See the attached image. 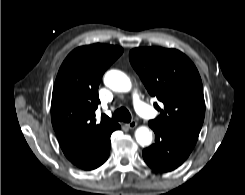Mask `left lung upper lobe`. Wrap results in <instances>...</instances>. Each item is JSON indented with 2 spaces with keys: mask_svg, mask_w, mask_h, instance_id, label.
Instances as JSON below:
<instances>
[{
  "mask_svg": "<svg viewBox=\"0 0 245 195\" xmlns=\"http://www.w3.org/2000/svg\"><path fill=\"white\" fill-rule=\"evenodd\" d=\"M131 65L151 96L161 103V112L149 121L150 127L171 129L198 139L205 115L203 86L192 61L176 49L135 48L130 51Z\"/></svg>",
  "mask_w": 245,
  "mask_h": 195,
  "instance_id": "left-lung-upper-lobe-1",
  "label": "left lung upper lobe"
}]
</instances>
